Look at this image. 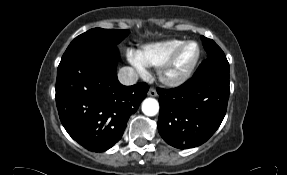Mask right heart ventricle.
Segmentation results:
<instances>
[{
    "label": "right heart ventricle",
    "instance_id": "obj_1",
    "mask_svg": "<svg viewBox=\"0 0 287 175\" xmlns=\"http://www.w3.org/2000/svg\"><path fill=\"white\" fill-rule=\"evenodd\" d=\"M181 39H168L142 46L138 51L145 67L160 68L173 51L183 43Z\"/></svg>",
    "mask_w": 287,
    "mask_h": 175
}]
</instances>
